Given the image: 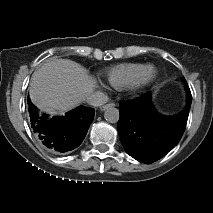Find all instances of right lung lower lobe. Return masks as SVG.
<instances>
[{
	"mask_svg": "<svg viewBox=\"0 0 213 213\" xmlns=\"http://www.w3.org/2000/svg\"><path fill=\"white\" fill-rule=\"evenodd\" d=\"M31 127L44 145L66 152L78 147L94 119V109L80 106L65 116L48 118L38 113L28 98Z\"/></svg>",
	"mask_w": 213,
	"mask_h": 213,
	"instance_id": "obj_1",
	"label": "right lung lower lobe"
}]
</instances>
